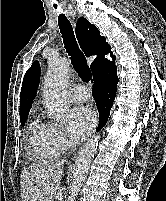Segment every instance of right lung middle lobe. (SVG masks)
I'll list each match as a JSON object with an SVG mask.
<instances>
[{"mask_svg": "<svg viewBox=\"0 0 166 201\" xmlns=\"http://www.w3.org/2000/svg\"><path fill=\"white\" fill-rule=\"evenodd\" d=\"M26 119H27V116L20 118L21 125H24Z\"/></svg>", "mask_w": 166, "mask_h": 201, "instance_id": "1", "label": "right lung middle lobe"}]
</instances>
